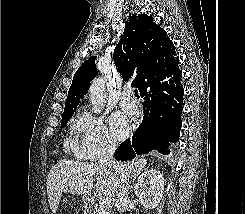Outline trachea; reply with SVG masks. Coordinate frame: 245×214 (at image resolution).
Here are the masks:
<instances>
[{
  "label": "trachea",
  "instance_id": "1",
  "mask_svg": "<svg viewBox=\"0 0 245 214\" xmlns=\"http://www.w3.org/2000/svg\"><path fill=\"white\" fill-rule=\"evenodd\" d=\"M135 97L139 98L138 90H135Z\"/></svg>",
  "mask_w": 245,
  "mask_h": 214
}]
</instances>
